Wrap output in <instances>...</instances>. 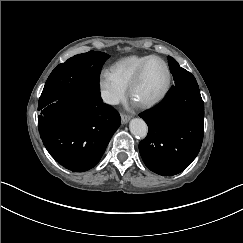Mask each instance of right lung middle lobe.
<instances>
[{
	"label": "right lung middle lobe",
	"instance_id": "1",
	"mask_svg": "<svg viewBox=\"0 0 243 243\" xmlns=\"http://www.w3.org/2000/svg\"><path fill=\"white\" fill-rule=\"evenodd\" d=\"M109 55L89 51L59 64L48 77L39 99L38 110L56 101L63 94L83 90L100 94L99 75Z\"/></svg>",
	"mask_w": 243,
	"mask_h": 243
}]
</instances>
